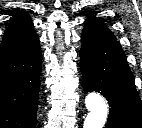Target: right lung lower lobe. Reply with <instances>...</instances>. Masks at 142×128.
Here are the masks:
<instances>
[{"instance_id": "right-lung-lower-lobe-1", "label": "right lung lower lobe", "mask_w": 142, "mask_h": 128, "mask_svg": "<svg viewBox=\"0 0 142 128\" xmlns=\"http://www.w3.org/2000/svg\"><path fill=\"white\" fill-rule=\"evenodd\" d=\"M41 57L38 40L25 52L0 62V128H35Z\"/></svg>"}]
</instances>
